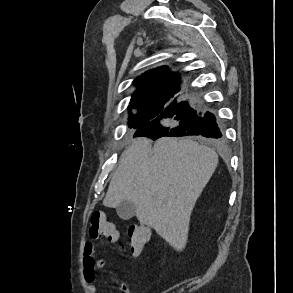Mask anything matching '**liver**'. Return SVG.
<instances>
[{
	"instance_id": "1",
	"label": "liver",
	"mask_w": 293,
	"mask_h": 293,
	"mask_svg": "<svg viewBox=\"0 0 293 293\" xmlns=\"http://www.w3.org/2000/svg\"><path fill=\"white\" fill-rule=\"evenodd\" d=\"M218 164L217 153L189 138L134 139L121 155L106 207L131 201L137 219L181 252L192 210Z\"/></svg>"
}]
</instances>
